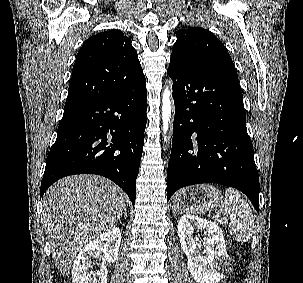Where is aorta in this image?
I'll return each instance as SVG.
<instances>
[{"label": "aorta", "instance_id": "762f6f07", "mask_svg": "<svg viewBox=\"0 0 303 283\" xmlns=\"http://www.w3.org/2000/svg\"><path fill=\"white\" fill-rule=\"evenodd\" d=\"M172 90L170 87H166L162 94V121L163 132L166 133L169 130L170 117L172 112ZM164 141H167V137H164Z\"/></svg>", "mask_w": 303, "mask_h": 283}]
</instances>
